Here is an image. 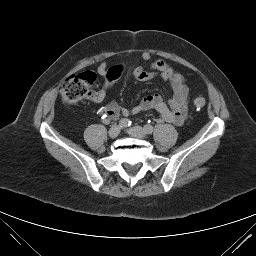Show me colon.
<instances>
[{
	"label": "colon",
	"instance_id": "obj_1",
	"mask_svg": "<svg viewBox=\"0 0 256 256\" xmlns=\"http://www.w3.org/2000/svg\"><path fill=\"white\" fill-rule=\"evenodd\" d=\"M95 80L96 75L90 71L69 76L60 87L62 101L67 105L78 104L91 94V87ZM205 105V98L197 97L194 99L196 109H202Z\"/></svg>",
	"mask_w": 256,
	"mask_h": 256
}]
</instances>
